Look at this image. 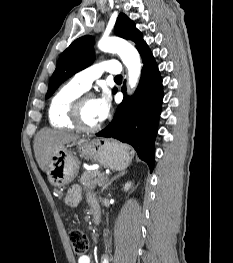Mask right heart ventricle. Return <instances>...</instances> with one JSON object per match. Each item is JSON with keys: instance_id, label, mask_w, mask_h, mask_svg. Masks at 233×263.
<instances>
[{"instance_id": "e07e8e85", "label": "right heart ventricle", "mask_w": 233, "mask_h": 263, "mask_svg": "<svg viewBox=\"0 0 233 263\" xmlns=\"http://www.w3.org/2000/svg\"><path fill=\"white\" fill-rule=\"evenodd\" d=\"M85 90L73 80L61 86L53 95L49 109L48 118L50 124L55 128H75L70 119V107L75 98Z\"/></svg>"}]
</instances>
